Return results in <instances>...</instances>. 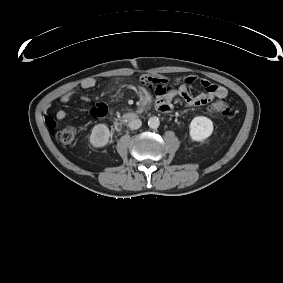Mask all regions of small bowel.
I'll return each instance as SVG.
<instances>
[{
	"label": "small bowel",
	"mask_w": 283,
	"mask_h": 283,
	"mask_svg": "<svg viewBox=\"0 0 283 283\" xmlns=\"http://www.w3.org/2000/svg\"><path fill=\"white\" fill-rule=\"evenodd\" d=\"M97 78L89 77L81 81L77 88L70 89L64 92L60 101L63 104L69 103L76 95L79 89L88 90L93 88L98 83ZM196 81L203 88V92L192 95L189 92V87ZM175 85V86H174ZM147 88H155L156 91V106L160 111L168 112L172 109V102L176 97L181 98L187 106L198 107L204 106L214 99H223L227 96V90L221 86L210 82L205 78H197L196 76L189 75L178 78L172 81L166 76L162 75H143L141 77V94L147 96ZM84 101L88 100V97L83 95ZM107 112V105L103 102L98 103L97 106L92 109L91 113L94 116H103ZM68 117V112L64 109L57 111L55 116L46 115L45 124L49 128L56 126L57 121H63Z\"/></svg>",
	"instance_id": "c3829d8e"
}]
</instances>
